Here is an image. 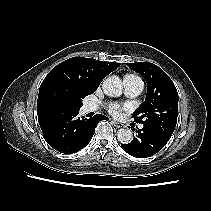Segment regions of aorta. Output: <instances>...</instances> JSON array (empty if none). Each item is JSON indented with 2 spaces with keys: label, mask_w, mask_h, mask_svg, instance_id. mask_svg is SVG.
Instances as JSON below:
<instances>
[{
  "label": "aorta",
  "mask_w": 211,
  "mask_h": 211,
  "mask_svg": "<svg viewBox=\"0 0 211 211\" xmlns=\"http://www.w3.org/2000/svg\"><path fill=\"white\" fill-rule=\"evenodd\" d=\"M103 91L110 97H119L122 95L123 85L121 79L112 75L106 78L102 85ZM133 134L130 129H120L117 134V139L123 144H128L132 141Z\"/></svg>",
  "instance_id": "1"
}]
</instances>
